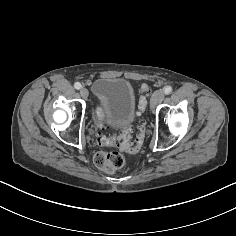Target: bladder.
Here are the masks:
<instances>
[{
	"label": "bladder",
	"mask_w": 236,
	"mask_h": 236,
	"mask_svg": "<svg viewBox=\"0 0 236 236\" xmlns=\"http://www.w3.org/2000/svg\"><path fill=\"white\" fill-rule=\"evenodd\" d=\"M104 120L122 127L130 126L136 115V98L132 85L125 79L103 77L93 85Z\"/></svg>",
	"instance_id": "31cf9c89"
}]
</instances>
